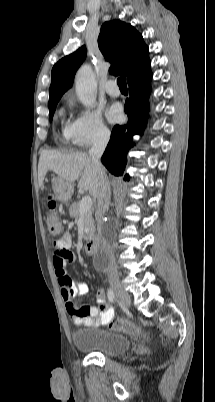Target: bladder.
Returning <instances> with one entry per match:
<instances>
[{
  "label": "bladder",
  "instance_id": "31cf9c89",
  "mask_svg": "<svg viewBox=\"0 0 215 402\" xmlns=\"http://www.w3.org/2000/svg\"><path fill=\"white\" fill-rule=\"evenodd\" d=\"M77 350L104 357L119 356L129 350L131 342L123 334L105 329H85L73 335Z\"/></svg>",
  "mask_w": 215,
  "mask_h": 402
}]
</instances>
